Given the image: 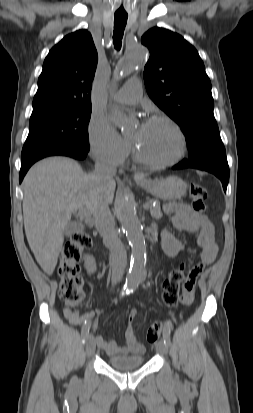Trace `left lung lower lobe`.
<instances>
[{
  "instance_id": "0a47b994",
  "label": "left lung lower lobe",
  "mask_w": 253,
  "mask_h": 413,
  "mask_svg": "<svg viewBox=\"0 0 253 413\" xmlns=\"http://www.w3.org/2000/svg\"><path fill=\"white\" fill-rule=\"evenodd\" d=\"M185 168H195L200 170L208 171L215 176H217L223 185L224 191L226 192L227 185L229 182V166L227 162L226 155H218L200 162H193L184 159L179 164L173 166V169H185Z\"/></svg>"
}]
</instances>
